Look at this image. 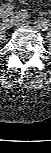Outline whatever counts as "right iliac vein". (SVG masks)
<instances>
[{
	"instance_id": "63e3f726",
	"label": "right iliac vein",
	"mask_w": 51,
	"mask_h": 153,
	"mask_svg": "<svg viewBox=\"0 0 51 153\" xmlns=\"http://www.w3.org/2000/svg\"><path fill=\"white\" fill-rule=\"evenodd\" d=\"M12 26H13V21L12 20L6 19L5 21H3L2 27L4 29H10Z\"/></svg>"
}]
</instances>
